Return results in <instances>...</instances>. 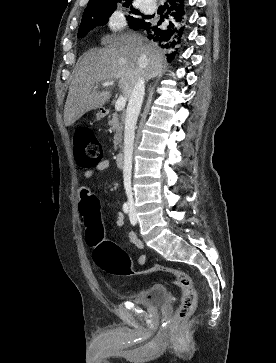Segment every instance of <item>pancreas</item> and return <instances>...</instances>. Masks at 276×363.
<instances>
[{"instance_id": "obj_1", "label": "pancreas", "mask_w": 276, "mask_h": 363, "mask_svg": "<svg viewBox=\"0 0 276 363\" xmlns=\"http://www.w3.org/2000/svg\"><path fill=\"white\" fill-rule=\"evenodd\" d=\"M108 125L115 132L114 135V149L122 147V132H123V123L119 121V116L117 113L112 114V119H109Z\"/></svg>"}]
</instances>
